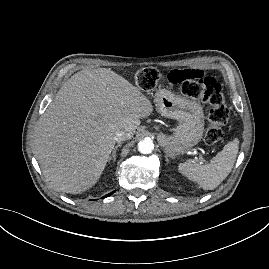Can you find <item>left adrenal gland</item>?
Wrapping results in <instances>:
<instances>
[{"instance_id":"left-adrenal-gland-1","label":"left adrenal gland","mask_w":269,"mask_h":269,"mask_svg":"<svg viewBox=\"0 0 269 269\" xmlns=\"http://www.w3.org/2000/svg\"><path fill=\"white\" fill-rule=\"evenodd\" d=\"M165 157H166V161L169 162L168 157L167 156H165Z\"/></svg>"}]
</instances>
